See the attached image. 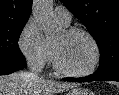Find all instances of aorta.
I'll list each match as a JSON object with an SVG mask.
<instances>
[{"instance_id":"obj_1","label":"aorta","mask_w":119,"mask_h":95,"mask_svg":"<svg viewBox=\"0 0 119 95\" xmlns=\"http://www.w3.org/2000/svg\"><path fill=\"white\" fill-rule=\"evenodd\" d=\"M32 12L46 38H52L60 31L61 26L53 15V0H34Z\"/></svg>"}]
</instances>
